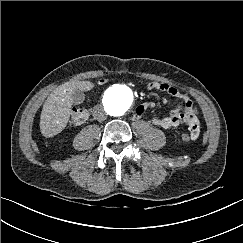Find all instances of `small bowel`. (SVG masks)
I'll return each instance as SVG.
<instances>
[{"label": "small bowel", "instance_id": "c3829d8e", "mask_svg": "<svg viewBox=\"0 0 243 243\" xmlns=\"http://www.w3.org/2000/svg\"><path fill=\"white\" fill-rule=\"evenodd\" d=\"M146 88L148 90H157L169 94L173 97L179 99V107L176 110L171 111L168 115L164 117L154 116L151 121L154 125L168 129L176 127L179 125L187 126L189 133L192 136V140H196L201 132V123L199 119L198 110L192 101L184 94L180 92L178 88L167 83H159L156 81H151L147 83ZM162 101L166 103L168 98L164 96ZM154 107L153 102H146L135 111L136 117L143 116L148 109Z\"/></svg>", "mask_w": 243, "mask_h": 243}]
</instances>
